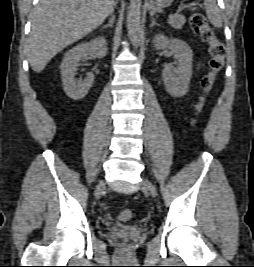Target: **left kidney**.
<instances>
[{
  "label": "left kidney",
  "mask_w": 254,
  "mask_h": 267,
  "mask_svg": "<svg viewBox=\"0 0 254 267\" xmlns=\"http://www.w3.org/2000/svg\"><path fill=\"white\" fill-rule=\"evenodd\" d=\"M156 50L168 48L174 54L175 66H169L162 72V79L166 91L175 98L186 95L192 77L193 52L191 48L182 40L168 39L163 34H156L153 39Z\"/></svg>",
  "instance_id": "5707ae66"
}]
</instances>
